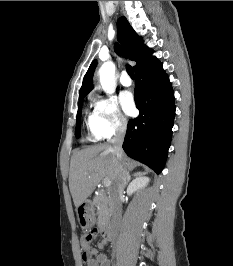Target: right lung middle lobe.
<instances>
[{"label": "right lung middle lobe", "instance_id": "1", "mask_svg": "<svg viewBox=\"0 0 233 266\" xmlns=\"http://www.w3.org/2000/svg\"><path fill=\"white\" fill-rule=\"evenodd\" d=\"M83 98L79 99L78 102V113H77V122H76V131L75 136L80 137V118H81V110H82Z\"/></svg>", "mask_w": 233, "mask_h": 266}]
</instances>
